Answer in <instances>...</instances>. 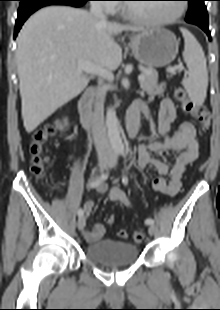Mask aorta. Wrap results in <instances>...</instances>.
Here are the masks:
<instances>
[{
	"instance_id": "1",
	"label": "aorta",
	"mask_w": 220,
	"mask_h": 310,
	"mask_svg": "<svg viewBox=\"0 0 220 310\" xmlns=\"http://www.w3.org/2000/svg\"><path fill=\"white\" fill-rule=\"evenodd\" d=\"M106 128L108 133V138L113 149L121 150L123 149V143L120 136V131L118 127V119L114 108H109L106 114Z\"/></svg>"
}]
</instances>
